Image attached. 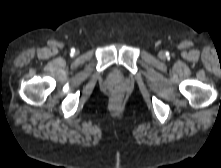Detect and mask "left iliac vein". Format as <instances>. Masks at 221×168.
<instances>
[{"mask_svg":"<svg viewBox=\"0 0 221 168\" xmlns=\"http://www.w3.org/2000/svg\"><path fill=\"white\" fill-rule=\"evenodd\" d=\"M160 56H161V57H163V56H164V54H163V53H160Z\"/></svg>","mask_w":221,"mask_h":168,"instance_id":"4c4485c4","label":"left iliac vein"}]
</instances>
